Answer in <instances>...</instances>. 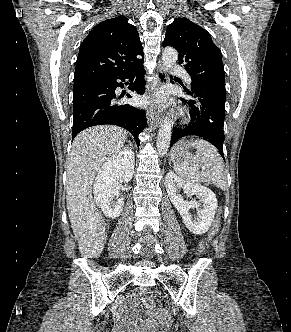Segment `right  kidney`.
Returning <instances> with one entry per match:
<instances>
[{
  "label": "right kidney",
  "mask_w": 291,
  "mask_h": 332,
  "mask_svg": "<svg viewBox=\"0 0 291 332\" xmlns=\"http://www.w3.org/2000/svg\"><path fill=\"white\" fill-rule=\"evenodd\" d=\"M134 171V153L124 149L113 155L99 170L94 182L95 202L107 218L120 216L124 199L119 197V183L129 182ZM116 201H113L114 197Z\"/></svg>",
  "instance_id": "obj_1"
}]
</instances>
